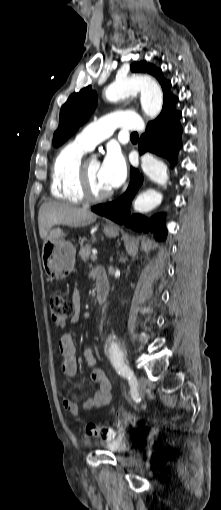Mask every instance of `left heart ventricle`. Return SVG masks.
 I'll return each mask as SVG.
<instances>
[{"mask_svg":"<svg viewBox=\"0 0 221 510\" xmlns=\"http://www.w3.org/2000/svg\"><path fill=\"white\" fill-rule=\"evenodd\" d=\"M87 171L90 180V186L93 193L100 195L110 191L100 176V162L98 160L87 161Z\"/></svg>","mask_w":221,"mask_h":510,"instance_id":"1","label":"left heart ventricle"}]
</instances>
